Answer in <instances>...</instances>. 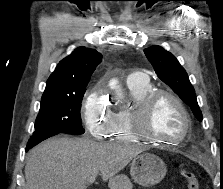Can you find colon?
Listing matches in <instances>:
<instances>
[{
  "mask_svg": "<svg viewBox=\"0 0 223 189\" xmlns=\"http://www.w3.org/2000/svg\"><path fill=\"white\" fill-rule=\"evenodd\" d=\"M183 178L186 180L187 189H200V183L195 171L185 168L181 172Z\"/></svg>",
  "mask_w": 223,
  "mask_h": 189,
  "instance_id": "1",
  "label": "colon"
}]
</instances>
